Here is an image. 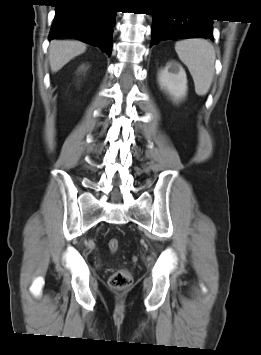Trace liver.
Returning <instances> with one entry per match:
<instances>
[{
	"instance_id": "1",
	"label": "liver",
	"mask_w": 261,
	"mask_h": 355,
	"mask_svg": "<svg viewBox=\"0 0 261 355\" xmlns=\"http://www.w3.org/2000/svg\"><path fill=\"white\" fill-rule=\"evenodd\" d=\"M86 45L79 41L54 40L49 46V64L53 73L74 57L84 53Z\"/></svg>"
}]
</instances>
